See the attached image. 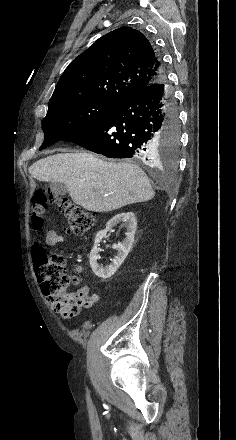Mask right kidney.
<instances>
[{
    "label": "right kidney",
    "mask_w": 236,
    "mask_h": 440,
    "mask_svg": "<svg viewBox=\"0 0 236 440\" xmlns=\"http://www.w3.org/2000/svg\"><path fill=\"white\" fill-rule=\"evenodd\" d=\"M119 223H123V225L126 227L127 229L125 233L126 237L122 241V243L113 245V249L117 250V255L112 260V263L110 265H106L105 267H103L98 263L99 251H100V249L98 248L99 243L102 240V238L106 237L107 232L110 231L114 226H116ZM136 229H137V221L134 213L126 212L115 215L112 219L108 221L106 228L104 230L99 231L96 234L94 246L90 252V257H89L90 266L96 276H98L101 279H107L110 278L112 275H114V273L124 262V260L126 259L128 253L132 248Z\"/></svg>",
    "instance_id": "obj_1"
}]
</instances>
